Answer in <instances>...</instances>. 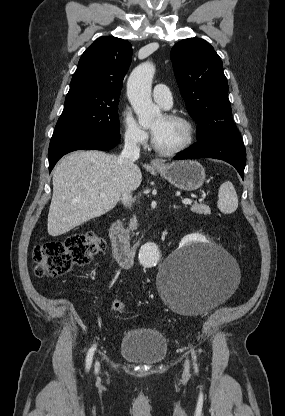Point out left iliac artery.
<instances>
[{"instance_id": "obj_1", "label": "left iliac artery", "mask_w": 285, "mask_h": 416, "mask_svg": "<svg viewBox=\"0 0 285 416\" xmlns=\"http://www.w3.org/2000/svg\"><path fill=\"white\" fill-rule=\"evenodd\" d=\"M192 355H193L194 360L196 361V354L194 351H192ZM195 371L198 372L197 364H195Z\"/></svg>"}]
</instances>
